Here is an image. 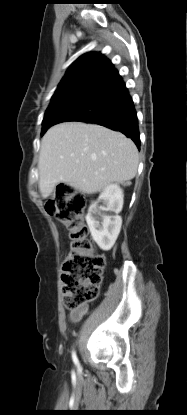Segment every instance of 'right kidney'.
<instances>
[{"label":"right kidney","instance_id":"ca27d5eb","mask_svg":"<svg viewBox=\"0 0 187 415\" xmlns=\"http://www.w3.org/2000/svg\"><path fill=\"white\" fill-rule=\"evenodd\" d=\"M123 190L117 184L108 185L99 196L104 205L92 204L86 221L98 246L110 250L120 233L122 218L118 214L123 207Z\"/></svg>","mask_w":187,"mask_h":415}]
</instances>
